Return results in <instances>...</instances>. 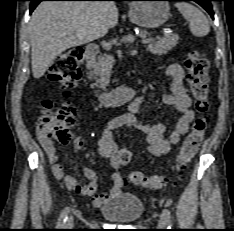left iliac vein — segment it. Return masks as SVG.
<instances>
[{
    "mask_svg": "<svg viewBox=\"0 0 234 231\" xmlns=\"http://www.w3.org/2000/svg\"><path fill=\"white\" fill-rule=\"evenodd\" d=\"M158 226H159L160 228H166V227H167V221H166V218H165L164 215H161V216H160Z\"/></svg>",
    "mask_w": 234,
    "mask_h": 231,
    "instance_id": "left-iliac-vein-1",
    "label": "left iliac vein"
}]
</instances>
